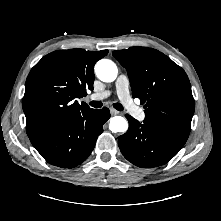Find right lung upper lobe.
<instances>
[{
  "instance_id": "obj_1",
  "label": "right lung upper lobe",
  "mask_w": 221,
  "mask_h": 221,
  "mask_svg": "<svg viewBox=\"0 0 221 221\" xmlns=\"http://www.w3.org/2000/svg\"><path fill=\"white\" fill-rule=\"evenodd\" d=\"M108 50H58L44 56L30 71L23 97L28 136L64 124L90 109L77 98L93 90L95 63Z\"/></svg>"
}]
</instances>
